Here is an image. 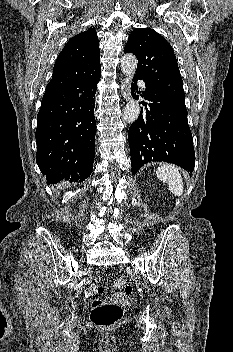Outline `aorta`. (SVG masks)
<instances>
[{"label": "aorta", "instance_id": "aorta-1", "mask_svg": "<svg viewBox=\"0 0 233 352\" xmlns=\"http://www.w3.org/2000/svg\"><path fill=\"white\" fill-rule=\"evenodd\" d=\"M121 70L124 75L131 77L135 74L137 68V59L133 54H126L121 59ZM140 114V105L134 99H131L123 111V120L127 123L135 122Z\"/></svg>", "mask_w": 233, "mask_h": 352}]
</instances>
